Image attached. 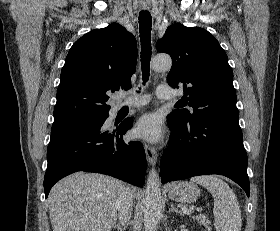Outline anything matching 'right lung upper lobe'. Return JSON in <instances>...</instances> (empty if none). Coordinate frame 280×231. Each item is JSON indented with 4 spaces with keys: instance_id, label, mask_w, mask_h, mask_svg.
<instances>
[{
    "instance_id": "cb5924a9",
    "label": "right lung upper lobe",
    "mask_w": 280,
    "mask_h": 231,
    "mask_svg": "<svg viewBox=\"0 0 280 231\" xmlns=\"http://www.w3.org/2000/svg\"><path fill=\"white\" fill-rule=\"evenodd\" d=\"M136 61V40L120 24L112 23L78 39L61 71L53 124L107 114L106 92L131 88Z\"/></svg>"
}]
</instances>
